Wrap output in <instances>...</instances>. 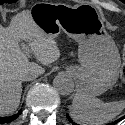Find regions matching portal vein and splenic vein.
I'll list each match as a JSON object with an SVG mask.
<instances>
[{
    "label": "portal vein and splenic vein",
    "instance_id": "1",
    "mask_svg": "<svg viewBox=\"0 0 125 125\" xmlns=\"http://www.w3.org/2000/svg\"><path fill=\"white\" fill-rule=\"evenodd\" d=\"M21 46L27 55H29L31 53V50L29 49V47L27 45L22 44Z\"/></svg>",
    "mask_w": 125,
    "mask_h": 125
}]
</instances>
